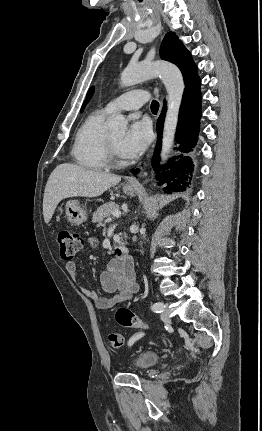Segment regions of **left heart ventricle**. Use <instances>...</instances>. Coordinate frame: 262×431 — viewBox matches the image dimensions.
<instances>
[{"instance_id":"1","label":"left heart ventricle","mask_w":262,"mask_h":431,"mask_svg":"<svg viewBox=\"0 0 262 431\" xmlns=\"http://www.w3.org/2000/svg\"><path fill=\"white\" fill-rule=\"evenodd\" d=\"M123 135H124L123 133L110 134L111 140L115 144L118 152H119L118 145H119L121 139L123 138ZM120 156H122V155L120 154Z\"/></svg>"}]
</instances>
